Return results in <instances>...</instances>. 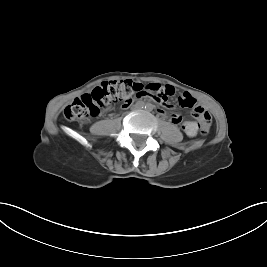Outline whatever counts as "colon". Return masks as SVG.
I'll return each instance as SVG.
<instances>
[{
	"mask_svg": "<svg viewBox=\"0 0 267 267\" xmlns=\"http://www.w3.org/2000/svg\"><path fill=\"white\" fill-rule=\"evenodd\" d=\"M173 91L168 86L149 84L140 86L128 80H114L97 87L91 94L75 97L65 108V116L70 120L85 121L90 116L97 115L100 110L112 103H122V107L131 105L135 96L156 97L160 102H167ZM183 107L190 108L195 119L193 122L202 134L208 133L211 126V115L190 95L179 97ZM179 117L175 116V120ZM197 132V131H196Z\"/></svg>",
	"mask_w": 267,
	"mask_h": 267,
	"instance_id": "5ec220e1",
	"label": "colon"
}]
</instances>
